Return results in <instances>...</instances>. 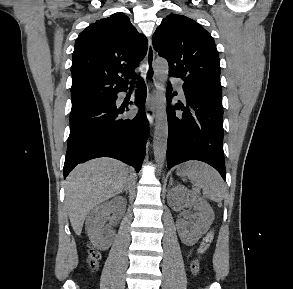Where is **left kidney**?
I'll list each match as a JSON object with an SVG mask.
<instances>
[{
    "label": "left kidney",
    "instance_id": "5707ae66",
    "mask_svg": "<svg viewBox=\"0 0 293 289\" xmlns=\"http://www.w3.org/2000/svg\"><path fill=\"white\" fill-rule=\"evenodd\" d=\"M171 206L182 205L193 207L196 213L193 215L195 223L188 227L185 221L177 223L178 234L186 245H194L210 228L214 220V211L204 199L189 191L184 186H176L171 190Z\"/></svg>",
    "mask_w": 293,
    "mask_h": 289
}]
</instances>
